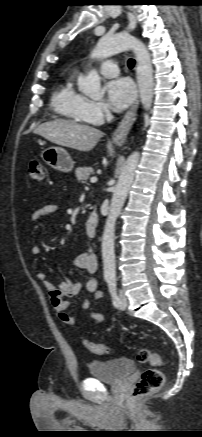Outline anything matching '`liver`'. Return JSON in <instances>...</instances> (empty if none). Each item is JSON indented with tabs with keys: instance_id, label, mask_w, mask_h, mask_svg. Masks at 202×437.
Masks as SVG:
<instances>
[{
	"instance_id": "obj_1",
	"label": "liver",
	"mask_w": 202,
	"mask_h": 437,
	"mask_svg": "<svg viewBox=\"0 0 202 437\" xmlns=\"http://www.w3.org/2000/svg\"><path fill=\"white\" fill-rule=\"evenodd\" d=\"M34 133L57 145L85 152L92 150L103 136L96 128L61 119L40 124Z\"/></svg>"
}]
</instances>
